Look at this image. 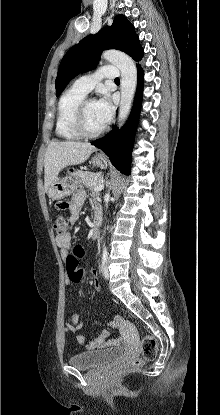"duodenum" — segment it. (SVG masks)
<instances>
[{
  "instance_id": "1",
  "label": "duodenum",
  "mask_w": 220,
  "mask_h": 415,
  "mask_svg": "<svg viewBox=\"0 0 220 415\" xmlns=\"http://www.w3.org/2000/svg\"><path fill=\"white\" fill-rule=\"evenodd\" d=\"M101 223H102V214L100 212L94 216L93 229H92V234L94 237L98 236Z\"/></svg>"
}]
</instances>
